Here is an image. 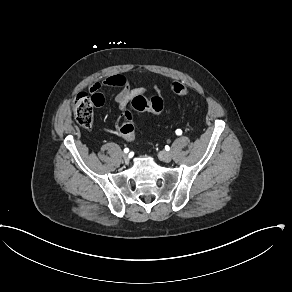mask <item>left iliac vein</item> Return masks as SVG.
<instances>
[{"instance_id":"4c4485c4","label":"left iliac vein","mask_w":292,"mask_h":292,"mask_svg":"<svg viewBox=\"0 0 292 292\" xmlns=\"http://www.w3.org/2000/svg\"><path fill=\"white\" fill-rule=\"evenodd\" d=\"M158 156H159V158H160L162 161H164V162H166V163H168V162H170V161L172 160V155H171V153L166 152V151H160L159 154H158Z\"/></svg>"}]
</instances>
